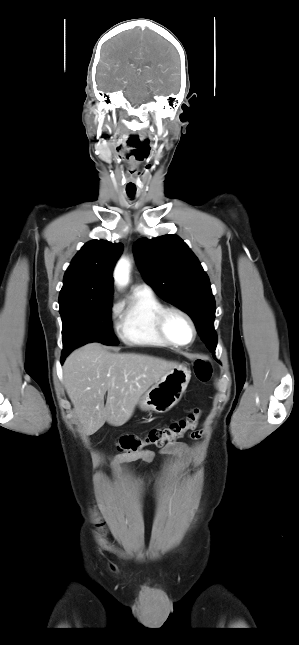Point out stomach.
Returning <instances> with one entry per match:
<instances>
[{
  "mask_svg": "<svg viewBox=\"0 0 299 645\" xmlns=\"http://www.w3.org/2000/svg\"><path fill=\"white\" fill-rule=\"evenodd\" d=\"M191 378V372L184 366H177L167 372L139 400L142 411L165 413L181 399Z\"/></svg>",
  "mask_w": 299,
  "mask_h": 645,
  "instance_id": "0dacf381",
  "label": "stomach"
}]
</instances>
